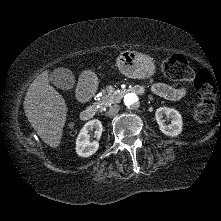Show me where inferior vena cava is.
<instances>
[{
	"mask_svg": "<svg viewBox=\"0 0 221 221\" xmlns=\"http://www.w3.org/2000/svg\"><path fill=\"white\" fill-rule=\"evenodd\" d=\"M120 107L118 105L110 106L109 110L106 112V115L109 117H113L118 114Z\"/></svg>",
	"mask_w": 221,
	"mask_h": 221,
	"instance_id": "1",
	"label": "inferior vena cava"
}]
</instances>
